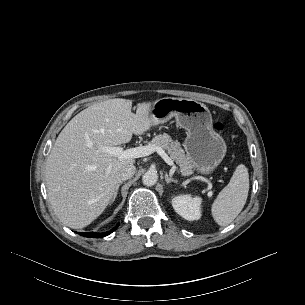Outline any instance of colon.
<instances>
[{
  "instance_id": "1",
  "label": "colon",
  "mask_w": 305,
  "mask_h": 305,
  "mask_svg": "<svg viewBox=\"0 0 305 305\" xmlns=\"http://www.w3.org/2000/svg\"><path fill=\"white\" fill-rule=\"evenodd\" d=\"M215 129H216L217 131L223 132V131H224V125H223V123L220 122V121H217V122L215 123Z\"/></svg>"
}]
</instances>
